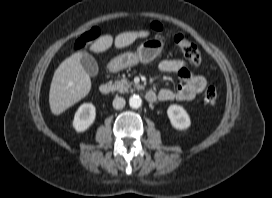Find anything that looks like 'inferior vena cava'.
Wrapping results in <instances>:
<instances>
[{
  "label": "inferior vena cava",
  "mask_w": 272,
  "mask_h": 198,
  "mask_svg": "<svg viewBox=\"0 0 272 198\" xmlns=\"http://www.w3.org/2000/svg\"><path fill=\"white\" fill-rule=\"evenodd\" d=\"M126 102L125 99L122 97H115L113 100V107L115 109H122L125 106Z\"/></svg>",
  "instance_id": "obj_1"
}]
</instances>
